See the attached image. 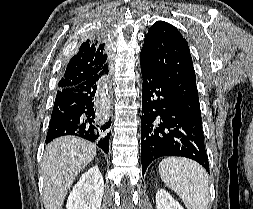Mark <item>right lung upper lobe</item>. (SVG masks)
<instances>
[{
	"label": "right lung upper lobe",
	"instance_id": "cb5924a9",
	"mask_svg": "<svg viewBox=\"0 0 253 209\" xmlns=\"http://www.w3.org/2000/svg\"><path fill=\"white\" fill-rule=\"evenodd\" d=\"M106 43L102 38L87 39L79 51L68 62L58 88L63 89L80 84L89 78L106 72Z\"/></svg>",
	"mask_w": 253,
	"mask_h": 209
}]
</instances>
